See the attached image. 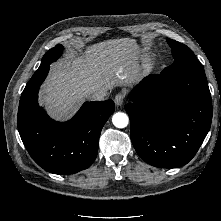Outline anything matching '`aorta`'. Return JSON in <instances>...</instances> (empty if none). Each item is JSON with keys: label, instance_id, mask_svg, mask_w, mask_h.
Instances as JSON below:
<instances>
[{"label": "aorta", "instance_id": "aorta-1", "mask_svg": "<svg viewBox=\"0 0 221 221\" xmlns=\"http://www.w3.org/2000/svg\"><path fill=\"white\" fill-rule=\"evenodd\" d=\"M112 123L117 128H125L129 123V117L122 112H117L112 117Z\"/></svg>", "mask_w": 221, "mask_h": 221}]
</instances>
